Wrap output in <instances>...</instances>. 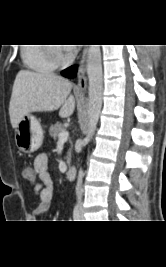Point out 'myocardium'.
I'll list each match as a JSON object with an SVG mask.
<instances>
[{"label": "myocardium", "mask_w": 166, "mask_h": 267, "mask_svg": "<svg viewBox=\"0 0 166 267\" xmlns=\"http://www.w3.org/2000/svg\"><path fill=\"white\" fill-rule=\"evenodd\" d=\"M49 58L56 66H63L71 61V56L68 55L61 46L50 44L46 46Z\"/></svg>", "instance_id": "f54148a6"}]
</instances>
